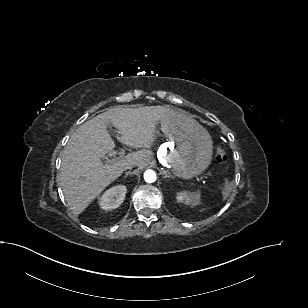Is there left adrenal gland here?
Masks as SVG:
<instances>
[{"label": "left adrenal gland", "instance_id": "a2214340", "mask_svg": "<svg viewBox=\"0 0 308 308\" xmlns=\"http://www.w3.org/2000/svg\"><path fill=\"white\" fill-rule=\"evenodd\" d=\"M161 173L164 175V178H175V176L171 175L168 170L162 169Z\"/></svg>", "mask_w": 308, "mask_h": 308}]
</instances>
